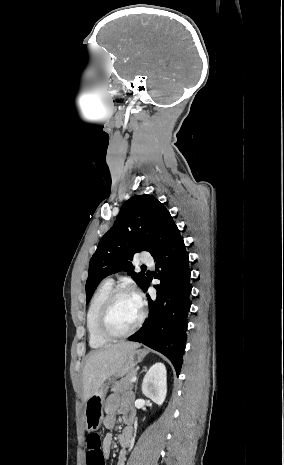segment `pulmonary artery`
I'll return each instance as SVG.
<instances>
[{
    "mask_svg": "<svg viewBox=\"0 0 284 465\" xmlns=\"http://www.w3.org/2000/svg\"><path fill=\"white\" fill-rule=\"evenodd\" d=\"M152 260H153L152 255L147 254L146 251H141L140 254L138 255V262L139 263H151ZM104 282L113 284V279L107 278V279L104 280Z\"/></svg>",
    "mask_w": 284,
    "mask_h": 465,
    "instance_id": "1",
    "label": "pulmonary artery"
}]
</instances>
